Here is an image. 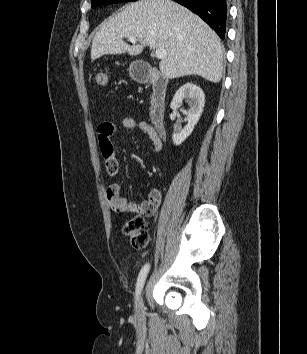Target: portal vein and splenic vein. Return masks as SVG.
<instances>
[{
  "label": "portal vein and splenic vein",
  "mask_w": 307,
  "mask_h": 354,
  "mask_svg": "<svg viewBox=\"0 0 307 354\" xmlns=\"http://www.w3.org/2000/svg\"><path fill=\"white\" fill-rule=\"evenodd\" d=\"M128 39H129V41L132 42V43H136V41H137L136 37H134V36H130ZM155 56H156L157 59H163V58H165V56H166V50H165L164 48L157 49V50L155 51Z\"/></svg>",
  "instance_id": "obj_1"
}]
</instances>
